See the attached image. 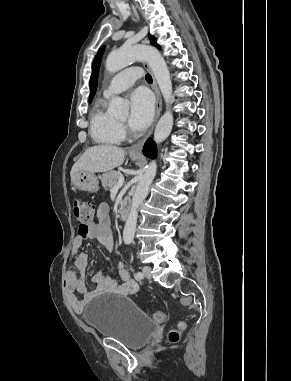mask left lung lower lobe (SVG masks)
<instances>
[{
    "mask_svg": "<svg viewBox=\"0 0 291 381\" xmlns=\"http://www.w3.org/2000/svg\"><path fill=\"white\" fill-rule=\"evenodd\" d=\"M143 154L151 159L156 157V146L151 139H148L145 143L143 148Z\"/></svg>",
    "mask_w": 291,
    "mask_h": 381,
    "instance_id": "obj_1",
    "label": "left lung lower lobe"
}]
</instances>
